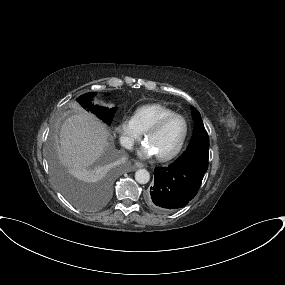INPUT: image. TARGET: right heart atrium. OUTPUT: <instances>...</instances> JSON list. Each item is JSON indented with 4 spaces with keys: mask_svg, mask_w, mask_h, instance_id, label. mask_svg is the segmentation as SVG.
I'll use <instances>...</instances> for the list:
<instances>
[{
    "mask_svg": "<svg viewBox=\"0 0 285 285\" xmlns=\"http://www.w3.org/2000/svg\"><path fill=\"white\" fill-rule=\"evenodd\" d=\"M118 133L121 143L127 148H131L135 141L142 135V132L135 123L134 117L130 116L121 118L118 125Z\"/></svg>",
    "mask_w": 285,
    "mask_h": 285,
    "instance_id": "1",
    "label": "right heart atrium"
}]
</instances>
